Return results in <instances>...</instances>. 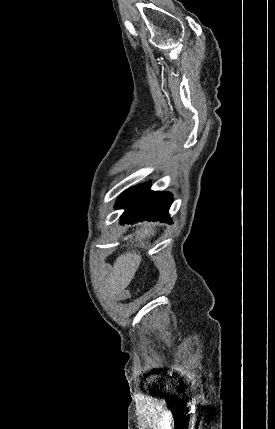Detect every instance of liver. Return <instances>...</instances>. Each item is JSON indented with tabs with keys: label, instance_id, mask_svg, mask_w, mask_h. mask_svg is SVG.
<instances>
[{
	"label": "liver",
	"instance_id": "obj_1",
	"mask_svg": "<svg viewBox=\"0 0 275 429\" xmlns=\"http://www.w3.org/2000/svg\"><path fill=\"white\" fill-rule=\"evenodd\" d=\"M154 224L144 223L136 230L138 240L154 235ZM141 256L136 251L120 255L109 272V285L115 292H122L133 279L140 264Z\"/></svg>",
	"mask_w": 275,
	"mask_h": 429
}]
</instances>
